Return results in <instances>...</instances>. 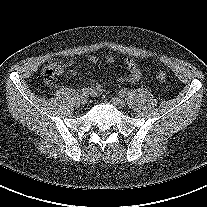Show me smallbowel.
<instances>
[{
    "label": "small bowel",
    "mask_w": 207,
    "mask_h": 207,
    "mask_svg": "<svg viewBox=\"0 0 207 207\" xmlns=\"http://www.w3.org/2000/svg\"><path fill=\"white\" fill-rule=\"evenodd\" d=\"M88 61L93 63V64H96L98 59L95 56H90L88 58ZM107 63L108 64H113L114 63V58L112 56H109L107 58ZM59 64H60V67H61V73H63L65 68H69L68 69L69 74L72 75V76L76 75V73H77L76 70L71 68L73 62H68L65 65H63L61 63H59ZM124 64L127 67L129 73H128L127 76L120 77L118 79V81L122 82V83L138 81L141 78V70H140L138 64L136 63V61L131 59V58H127L124 61ZM87 89H88V92L92 96H98L103 92L102 86L99 85L96 82H91Z\"/></svg>",
    "instance_id": "obj_1"
}]
</instances>
